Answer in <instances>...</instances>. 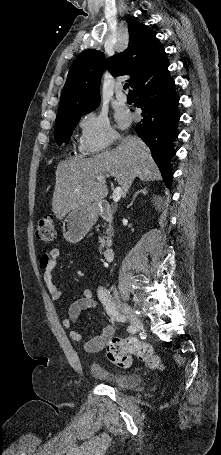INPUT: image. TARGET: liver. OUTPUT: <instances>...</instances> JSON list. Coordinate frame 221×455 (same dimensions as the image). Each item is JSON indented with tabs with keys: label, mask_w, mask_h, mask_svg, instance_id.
Masks as SVG:
<instances>
[{
	"label": "liver",
	"mask_w": 221,
	"mask_h": 455,
	"mask_svg": "<svg viewBox=\"0 0 221 455\" xmlns=\"http://www.w3.org/2000/svg\"><path fill=\"white\" fill-rule=\"evenodd\" d=\"M98 175H113L123 196L133 180H160L161 175L149 148L137 136L123 137L111 152L89 159H70L59 163L52 199V210L61 220L81 205L101 202L108 194L106 181Z\"/></svg>",
	"instance_id": "6515ba94"
}]
</instances>
